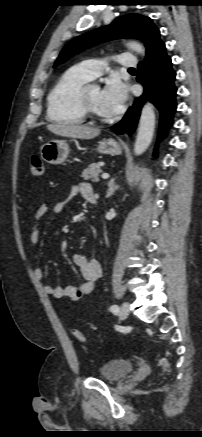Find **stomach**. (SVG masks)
I'll list each match as a JSON object with an SVG mask.
<instances>
[{
	"label": "stomach",
	"mask_w": 202,
	"mask_h": 437,
	"mask_svg": "<svg viewBox=\"0 0 202 437\" xmlns=\"http://www.w3.org/2000/svg\"><path fill=\"white\" fill-rule=\"evenodd\" d=\"M97 151L101 154H109L112 156L121 155L122 147L114 139H104L97 146ZM70 152L69 145L64 140H54L44 144L41 147V158L50 164H62L68 157Z\"/></svg>",
	"instance_id": "0dacf381"
}]
</instances>
